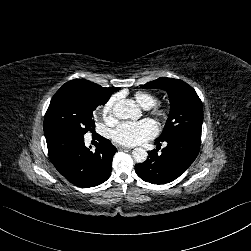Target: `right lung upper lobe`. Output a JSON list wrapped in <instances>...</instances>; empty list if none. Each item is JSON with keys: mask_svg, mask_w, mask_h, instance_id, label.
<instances>
[{"mask_svg": "<svg viewBox=\"0 0 251 251\" xmlns=\"http://www.w3.org/2000/svg\"><path fill=\"white\" fill-rule=\"evenodd\" d=\"M67 83H80L88 87V89L91 90V92L95 95H97L100 98H105L107 101L109 100L112 93L118 91L120 88H103L100 85H97L91 81L85 80V79H74Z\"/></svg>", "mask_w": 251, "mask_h": 251, "instance_id": "1", "label": "right lung upper lobe"}]
</instances>
